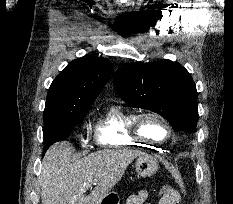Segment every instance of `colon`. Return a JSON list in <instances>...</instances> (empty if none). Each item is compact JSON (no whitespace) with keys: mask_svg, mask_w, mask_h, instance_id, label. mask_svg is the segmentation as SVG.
<instances>
[{"mask_svg":"<svg viewBox=\"0 0 233 204\" xmlns=\"http://www.w3.org/2000/svg\"><path fill=\"white\" fill-rule=\"evenodd\" d=\"M180 193L170 185H164L160 190L159 204H179Z\"/></svg>","mask_w":233,"mask_h":204,"instance_id":"5ec220e1","label":"colon"}]
</instances>
